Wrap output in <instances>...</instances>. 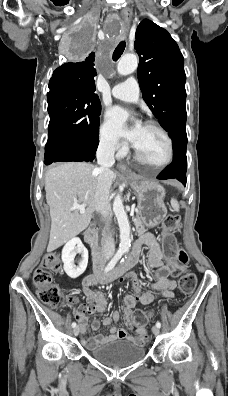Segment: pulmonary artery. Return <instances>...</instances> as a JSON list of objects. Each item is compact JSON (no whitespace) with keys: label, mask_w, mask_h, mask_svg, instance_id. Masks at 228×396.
I'll return each mask as SVG.
<instances>
[{"label":"pulmonary artery","mask_w":228,"mask_h":396,"mask_svg":"<svg viewBox=\"0 0 228 396\" xmlns=\"http://www.w3.org/2000/svg\"><path fill=\"white\" fill-rule=\"evenodd\" d=\"M113 97L126 102H137L140 96L138 81L130 77L123 83L117 84L112 88Z\"/></svg>","instance_id":"1"}]
</instances>
